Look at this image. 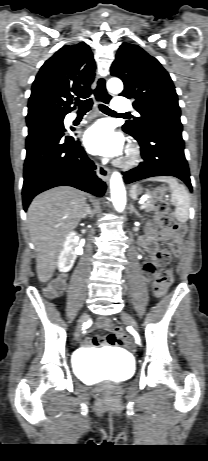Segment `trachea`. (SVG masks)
<instances>
[{
  "mask_svg": "<svg viewBox=\"0 0 208 461\" xmlns=\"http://www.w3.org/2000/svg\"><path fill=\"white\" fill-rule=\"evenodd\" d=\"M95 96L97 100L103 101L104 103H108L110 100V96L106 92L103 79H99L98 81V86L95 90ZM76 103L79 106V112H88L92 107L93 100L92 99H86L84 101L77 100ZM99 108L103 113H106L109 115L130 116L129 113L118 114L103 104L99 105Z\"/></svg>",
  "mask_w": 208,
  "mask_h": 461,
  "instance_id": "1",
  "label": "trachea"
}]
</instances>
